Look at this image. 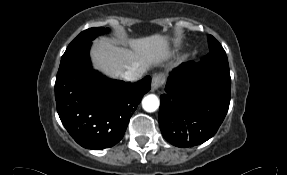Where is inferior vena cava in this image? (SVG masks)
<instances>
[{
	"label": "inferior vena cava",
	"instance_id": "inferior-vena-cava-1",
	"mask_svg": "<svg viewBox=\"0 0 287 175\" xmlns=\"http://www.w3.org/2000/svg\"><path fill=\"white\" fill-rule=\"evenodd\" d=\"M141 72L136 70H128L121 74V78L125 81H136L140 77Z\"/></svg>",
	"mask_w": 287,
	"mask_h": 175
}]
</instances>
